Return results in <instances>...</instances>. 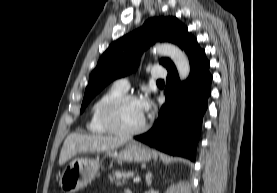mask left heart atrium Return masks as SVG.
I'll return each mask as SVG.
<instances>
[{
	"instance_id": "obj_1",
	"label": "left heart atrium",
	"mask_w": 277,
	"mask_h": 193,
	"mask_svg": "<svg viewBox=\"0 0 277 193\" xmlns=\"http://www.w3.org/2000/svg\"><path fill=\"white\" fill-rule=\"evenodd\" d=\"M140 107L145 116H149L152 111V102L147 96L140 97L138 99Z\"/></svg>"
}]
</instances>
